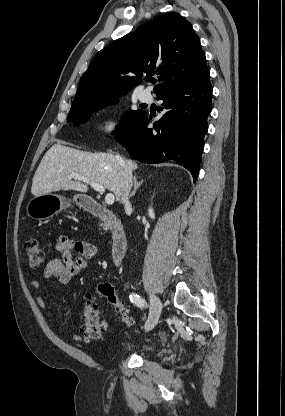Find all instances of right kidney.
Masks as SVG:
<instances>
[{"label": "right kidney", "mask_w": 285, "mask_h": 416, "mask_svg": "<svg viewBox=\"0 0 285 416\" xmlns=\"http://www.w3.org/2000/svg\"><path fill=\"white\" fill-rule=\"evenodd\" d=\"M148 212H149V214H148L149 218H152V220H154L155 214L153 212V208H149Z\"/></svg>", "instance_id": "right-kidney-1"}]
</instances>
